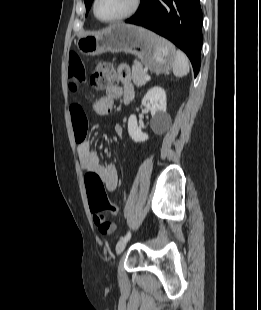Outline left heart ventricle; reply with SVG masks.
<instances>
[{
	"mask_svg": "<svg viewBox=\"0 0 261 310\" xmlns=\"http://www.w3.org/2000/svg\"><path fill=\"white\" fill-rule=\"evenodd\" d=\"M132 0H98L97 13L104 19L118 17L127 12Z\"/></svg>",
	"mask_w": 261,
	"mask_h": 310,
	"instance_id": "1",
	"label": "left heart ventricle"
}]
</instances>
